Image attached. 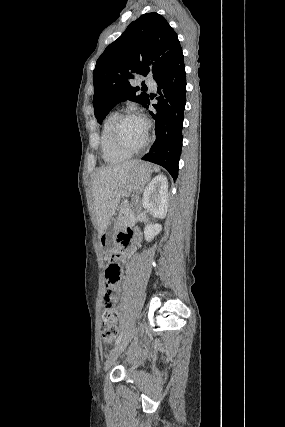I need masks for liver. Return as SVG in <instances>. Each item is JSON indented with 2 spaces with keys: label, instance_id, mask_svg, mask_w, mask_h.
Here are the masks:
<instances>
[{
  "label": "liver",
  "instance_id": "liver-1",
  "mask_svg": "<svg viewBox=\"0 0 285 427\" xmlns=\"http://www.w3.org/2000/svg\"><path fill=\"white\" fill-rule=\"evenodd\" d=\"M138 161L102 168L93 182V201L99 237L109 225L124 193L131 168Z\"/></svg>",
  "mask_w": 285,
  "mask_h": 427
}]
</instances>
